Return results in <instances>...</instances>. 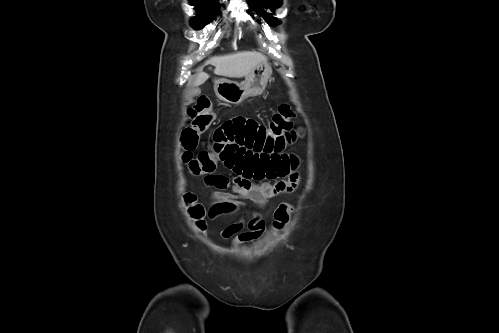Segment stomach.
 Here are the masks:
<instances>
[{
	"instance_id": "1",
	"label": "stomach",
	"mask_w": 499,
	"mask_h": 333,
	"mask_svg": "<svg viewBox=\"0 0 499 333\" xmlns=\"http://www.w3.org/2000/svg\"><path fill=\"white\" fill-rule=\"evenodd\" d=\"M271 74V66L267 62L260 63L250 71L242 83L227 79L216 80L214 91L220 100L238 105L249 97L261 95Z\"/></svg>"
}]
</instances>
